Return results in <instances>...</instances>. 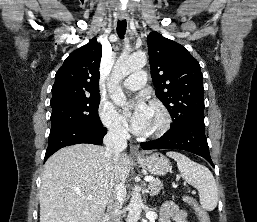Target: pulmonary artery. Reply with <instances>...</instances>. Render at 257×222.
Returning a JSON list of instances; mask_svg holds the SVG:
<instances>
[{"label": "pulmonary artery", "instance_id": "e3ab8cb5", "mask_svg": "<svg viewBox=\"0 0 257 222\" xmlns=\"http://www.w3.org/2000/svg\"><path fill=\"white\" fill-rule=\"evenodd\" d=\"M146 81H147L146 73L144 71H138L137 73H134L129 77H127L124 80L123 84L125 88L129 90H137L143 87Z\"/></svg>", "mask_w": 257, "mask_h": 222}]
</instances>
